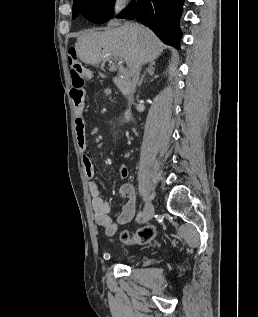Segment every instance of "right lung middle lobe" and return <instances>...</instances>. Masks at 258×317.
Here are the masks:
<instances>
[{
	"label": "right lung middle lobe",
	"instance_id": "1",
	"mask_svg": "<svg viewBox=\"0 0 258 317\" xmlns=\"http://www.w3.org/2000/svg\"><path fill=\"white\" fill-rule=\"evenodd\" d=\"M115 0H74L72 18L83 15L94 23H105L112 18Z\"/></svg>",
	"mask_w": 258,
	"mask_h": 317
}]
</instances>
